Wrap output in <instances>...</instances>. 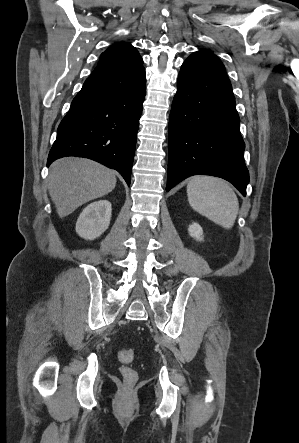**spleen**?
<instances>
[{
	"instance_id": "obj_1",
	"label": "spleen",
	"mask_w": 299,
	"mask_h": 443,
	"mask_svg": "<svg viewBox=\"0 0 299 443\" xmlns=\"http://www.w3.org/2000/svg\"><path fill=\"white\" fill-rule=\"evenodd\" d=\"M187 195L192 208L200 214L226 229L234 225L239 203L227 182L213 177H194L187 185Z\"/></svg>"
}]
</instances>
